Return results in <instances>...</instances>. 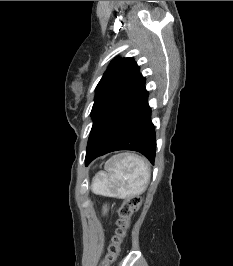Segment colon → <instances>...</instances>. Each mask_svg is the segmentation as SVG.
Masks as SVG:
<instances>
[{"mask_svg":"<svg viewBox=\"0 0 233 266\" xmlns=\"http://www.w3.org/2000/svg\"><path fill=\"white\" fill-rule=\"evenodd\" d=\"M141 198L139 196L127 197L118 210L117 228L112 241L108 247V252L100 266H111L116 262L120 252V247L130 226V219L133 213L139 208Z\"/></svg>","mask_w":233,"mask_h":266,"instance_id":"5ec220e1","label":"colon"}]
</instances>
